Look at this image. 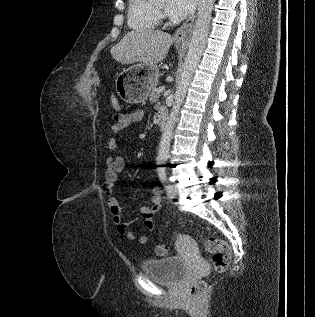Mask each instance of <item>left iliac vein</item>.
Wrapping results in <instances>:
<instances>
[{
    "label": "left iliac vein",
    "mask_w": 315,
    "mask_h": 317,
    "mask_svg": "<svg viewBox=\"0 0 315 317\" xmlns=\"http://www.w3.org/2000/svg\"><path fill=\"white\" fill-rule=\"evenodd\" d=\"M167 194L169 197H175L178 194V188L175 184L170 186V189L167 190Z\"/></svg>",
    "instance_id": "obj_1"
}]
</instances>
